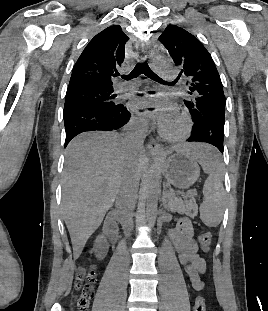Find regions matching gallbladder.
Segmentation results:
<instances>
[{
  "instance_id": "gallbladder-1",
  "label": "gallbladder",
  "mask_w": 268,
  "mask_h": 311,
  "mask_svg": "<svg viewBox=\"0 0 268 311\" xmlns=\"http://www.w3.org/2000/svg\"><path fill=\"white\" fill-rule=\"evenodd\" d=\"M112 204H116V201H112Z\"/></svg>"
}]
</instances>
